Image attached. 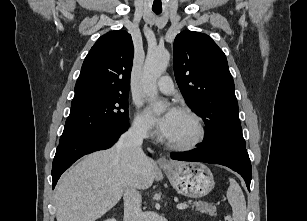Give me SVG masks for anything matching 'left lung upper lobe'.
<instances>
[{"instance_id":"1","label":"left lung upper lobe","mask_w":307,"mask_h":221,"mask_svg":"<svg viewBox=\"0 0 307 221\" xmlns=\"http://www.w3.org/2000/svg\"><path fill=\"white\" fill-rule=\"evenodd\" d=\"M174 75L188 106L207 126L203 142L246 148L235 86L224 52L206 34L183 31L174 40Z\"/></svg>"}]
</instances>
